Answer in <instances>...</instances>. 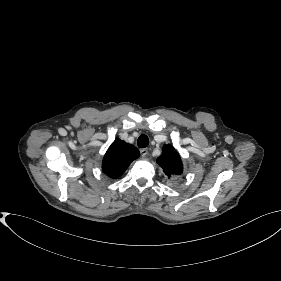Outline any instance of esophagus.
I'll return each mask as SVG.
<instances>
[{"instance_id":"1","label":"esophagus","mask_w":281,"mask_h":281,"mask_svg":"<svg viewBox=\"0 0 281 281\" xmlns=\"http://www.w3.org/2000/svg\"><path fill=\"white\" fill-rule=\"evenodd\" d=\"M140 153L142 157H145L148 154V149L147 148H142L140 149Z\"/></svg>"}]
</instances>
